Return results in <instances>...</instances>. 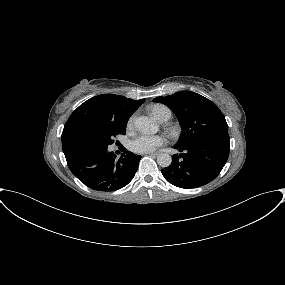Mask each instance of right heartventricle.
I'll list each match as a JSON object with an SVG mask.
<instances>
[{
    "instance_id": "1",
    "label": "right heart ventricle",
    "mask_w": 285,
    "mask_h": 285,
    "mask_svg": "<svg viewBox=\"0 0 285 285\" xmlns=\"http://www.w3.org/2000/svg\"><path fill=\"white\" fill-rule=\"evenodd\" d=\"M151 114L159 121L165 122L172 116L170 108L162 104H156L150 107Z\"/></svg>"
}]
</instances>
